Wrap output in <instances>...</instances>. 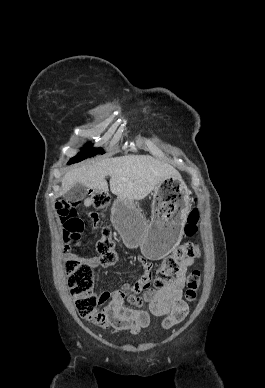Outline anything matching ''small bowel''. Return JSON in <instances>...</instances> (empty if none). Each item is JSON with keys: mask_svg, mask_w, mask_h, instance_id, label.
Segmentation results:
<instances>
[{"mask_svg": "<svg viewBox=\"0 0 265 388\" xmlns=\"http://www.w3.org/2000/svg\"><path fill=\"white\" fill-rule=\"evenodd\" d=\"M84 206H90L91 202L86 199ZM93 221H97L98 216L91 213ZM67 258L72 256L71 252L65 248ZM91 267L99 264L96 257L81 259ZM138 263L142 267V274L139 280L132 286L133 292H141L146 289L153 276V264L148 259L139 256ZM194 264V259H187L180 263L179 269L174 280L162 290L155 292L149 306L150 313L157 317H164L163 326L170 328L181 322L188 313V306L183 301V289L185 287L188 269ZM100 305L104 306L100 311L104 315V321L100 324L103 328L110 329L113 332L128 331L131 334H138L142 329L150 325V313L145 310L132 309L125 305V294L123 290L113 292L104 291L100 294Z\"/></svg>", "mask_w": 265, "mask_h": 388, "instance_id": "small-bowel-1", "label": "small bowel"}]
</instances>
